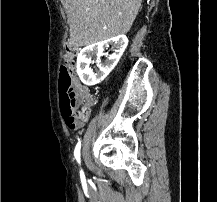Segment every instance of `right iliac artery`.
Returning <instances> with one entry per match:
<instances>
[{"label": "right iliac artery", "mask_w": 217, "mask_h": 202, "mask_svg": "<svg viewBox=\"0 0 217 202\" xmlns=\"http://www.w3.org/2000/svg\"><path fill=\"white\" fill-rule=\"evenodd\" d=\"M80 149H81V141L79 140V142L77 143L75 150H74V156H75L78 163H81V161H80Z\"/></svg>", "instance_id": "1"}]
</instances>
